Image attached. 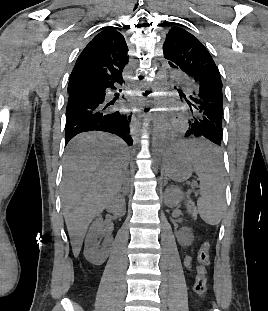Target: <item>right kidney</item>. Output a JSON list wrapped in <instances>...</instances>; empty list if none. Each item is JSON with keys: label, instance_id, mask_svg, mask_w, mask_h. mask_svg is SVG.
Masks as SVG:
<instances>
[{"label": "right kidney", "instance_id": "ca27d5eb", "mask_svg": "<svg viewBox=\"0 0 268 311\" xmlns=\"http://www.w3.org/2000/svg\"><path fill=\"white\" fill-rule=\"evenodd\" d=\"M107 210L114 215L125 214V201L117 196L112 203L107 206ZM104 223L102 217H98L91 225L85 239L84 256L93 265H101L107 259L111 245V237H107L103 244L99 246V239L104 236Z\"/></svg>", "mask_w": 268, "mask_h": 311}]
</instances>
